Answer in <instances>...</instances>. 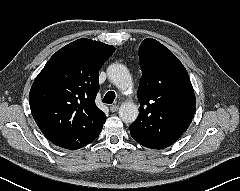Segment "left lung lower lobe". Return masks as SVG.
Returning a JSON list of instances; mask_svg holds the SVG:
<instances>
[{"mask_svg":"<svg viewBox=\"0 0 240 191\" xmlns=\"http://www.w3.org/2000/svg\"><path fill=\"white\" fill-rule=\"evenodd\" d=\"M130 133H131L132 138L136 142H138L139 144H141L145 147L152 148V149H163V148H166V147H168V146H170L174 143V142L173 143H171V142L167 143V142H156V141H153V142L151 141L150 142V141H147L145 139H142V138L138 137V133H136L134 131V129H132V128H130ZM154 135H157V132H154Z\"/></svg>","mask_w":240,"mask_h":191,"instance_id":"obj_1","label":"left lung lower lobe"}]
</instances>
